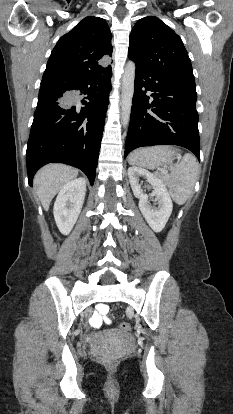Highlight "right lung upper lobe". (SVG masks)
<instances>
[{
	"label": "right lung upper lobe",
	"instance_id": "obj_1",
	"mask_svg": "<svg viewBox=\"0 0 233 414\" xmlns=\"http://www.w3.org/2000/svg\"><path fill=\"white\" fill-rule=\"evenodd\" d=\"M111 32L104 19L84 18L63 35L54 47L42 81H72L98 76L111 69Z\"/></svg>",
	"mask_w": 233,
	"mask_h": 414
}]
</instances>
